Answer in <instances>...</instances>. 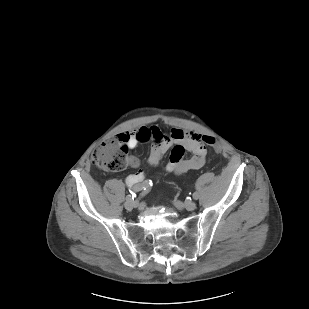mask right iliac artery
<instances>
[{
  "label": "right iliac artery",
  "mask_w": 309,
  "mask_h": 309,
  "mask_svg": "<svg viewBox=\"0 0 309 309\" xmlns=\"http://www.w3.org/2000/svg\"><path fill=\"white\" fill-rule=\"evenodd\" d=\"M144 189L140 191V193L137 195V199L141 200L142 197H147L148 194L151 193V186H152V181L150 179H145L144 181ZM146 183V184H145ZM127 200H133V195H127L126 196Z\"/></svg>",
  "instance_id": "82829eb1"
}]
</instances>
